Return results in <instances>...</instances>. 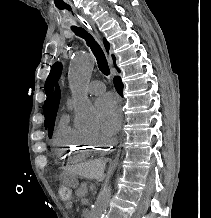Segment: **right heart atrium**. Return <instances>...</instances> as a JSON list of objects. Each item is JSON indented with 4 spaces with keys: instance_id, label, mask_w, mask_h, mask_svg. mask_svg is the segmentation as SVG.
<instances>
[{
    "instance_id": "obj_1",
    "label": "right heart atrium",
    "mask_w": 211,
    "mask_h": 218,
    "mask_svg": "<svg viewBox=\"0 0 211 218\" xmlns=\"http://www.w3.org/2000/svg\"><path fill=\"white\" fill-rule=\"evenodd\" d=\"M88 136L96 142L108 143V140L98 132L88 133Z\"/></svg>"
}]
</instances>
